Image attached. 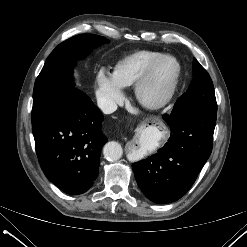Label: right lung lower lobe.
<instances>
[{
    "label": "right lung lower lobe",
    "instance_id": "1",
    "mask_svg": "<svg viewBox=\"0 0 247 247\" xmlns=\"http://www.w3.org/2000/svg\"><path fill=\"white\" fill-rule=\"evenodd\" d=\"M102 122L103 115L91 99L70 88L47 116L32 125L40 166L65 193L82 194L94 184L100 150L107 141Z\"/></svg>",
    "mask_w": 247,
    "mask_h": 247
}]
</instances>
